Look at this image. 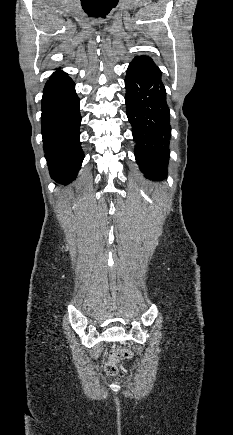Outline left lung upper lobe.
<instances>
[{
  "mask_svg": "<svg viewBox=\"0 0 233 435\" xmlns=\"http://www.w3.org/2000/svg\"><path fill=\"white\" fill-rule=\"evenodd\" d=\"M132 63L135 65H138V66L153 69V70L157 71L159 74H161L160 69L155 65V63L153 62V60L150 57L138 56V57H135V59L132 61Z\"/></svg>",
  "mask_w": 233,
  "mask_h": 435,
  "instance_id": "1",
  "label": "left lung upper lobe"
}]
</instances>
